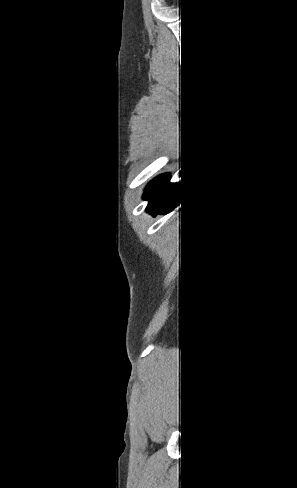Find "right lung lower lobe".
I'll list each match as a JSON object with an SVG mask.
<instances>
[{"instance_id": "right-lung-lower-lobe-1", "label": "right lung lower lobe", "mask_w": 297, "mask_h": 488, "mask_svg": "<svg viewBox=\"0 0 297 488\" xmlns=\"http://www.w3.org/2000/svg\"><path fill=\"white\" fill-rule=\"evenodd\" d=\"M178 189V183L170 182L169 174L152 180L143 194V199L148 200L146 212L156 215L173 211L178 206Z\"/></svg>"}]
</instances>
